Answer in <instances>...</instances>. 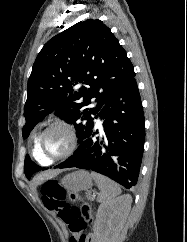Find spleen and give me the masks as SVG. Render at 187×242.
<instances>
[{
    "label": "spleen",
    "mask_w": 187,
    "mask_h": 242,
    "mask_svg": "<svg viewBox=\"0 0 187 242\" xmlns=\"http://www.w3.org/2000/svg\"><path fill=\"white\" fill-rule=\"evenodd\" d=\"M91 177L95 180L100 191L97 197L98 202L104 203L110 201L121 194L119 185L108 177L96 172H92Z\"/></svg>",
    "instance_id": "obj_1"
}]
</instances>
